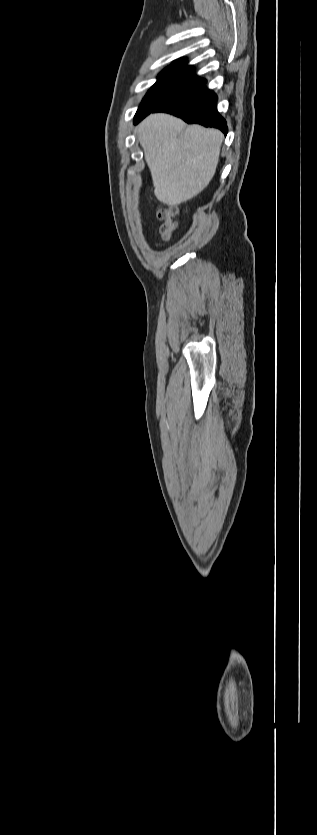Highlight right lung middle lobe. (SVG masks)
<instances>
[{"label": "right lung middle lobe", "instance_id": "obj_1", "mask_svg": "<svg viewBox=\"0 0 317 835\" xmlns=\"http://www.w3.org/2000/svg\"><path fill=\"white\" fill-rule=\"evenodd\" d=\"M206 82L194 75V69L184 63H176L167 67L157 82L148 91L135 115L134 123L153 109L165 104L184 93H187Z\"/></svg>", "mask_w": 317, "mask_h": 835}]
</instances>
